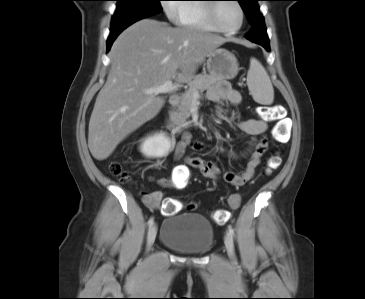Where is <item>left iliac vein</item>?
<instances>
[{
    "label": "left iliac vein",
    "instance_id": "4c4485c4",
    "mask_svg": "<svg viewBox=\"0 0 365 299\" xmlns=\"http://www.w3.org/2000/svg\"><path fill=\"white\" fill-rule=\"evenodd\" d=\"M224 241L228 256L230 259L235 261L234 242L232 235L230 233H226Z\"/></svg>",
    "mask_w": 365,
    "mask_h": 299
}]
</instances>
